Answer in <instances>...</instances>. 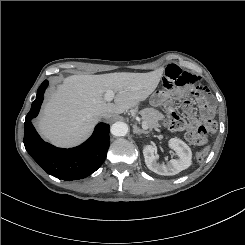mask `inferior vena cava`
<instances>
[{"label": "inferior vena cava", "instance_id": "obj_1", "mask_svg": "<svg viewBox=\"0 0 245 245\" xmlns=\"http://www.w3.org/2000/svg\"><path fill=\"white\" fill-rule=\"evenodd\" d=\"M108 115L107 114H102L101 117L106 118Z\"/></svg>", "mask_w": 245, "mask_h": 245}]
</instances>
